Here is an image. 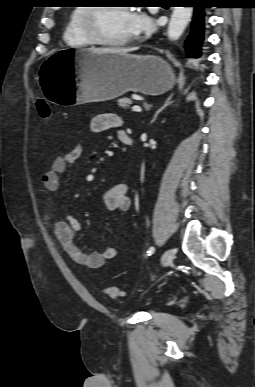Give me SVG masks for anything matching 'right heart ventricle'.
Wrapping results in <instances>:
<instances>
[{
    "mask_svg": "<svg viewBox=\"0 0 255 387\" xmlns=\"http://www.w3.org/2000/svg\"><path fill=\"white\" fill-rule=\"evenodd\" d=\"M85 7L77 6L71 11L63 32L64 42L74 48H83L93 45L81 28V16Z\"/></svg>",
    "mask_w": 255,
    "mask_h": 387,
    "instance_id": "e07e8e85",
    "label": "right heart ventricle"
}]
</instances>
